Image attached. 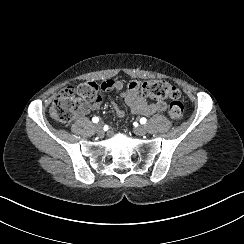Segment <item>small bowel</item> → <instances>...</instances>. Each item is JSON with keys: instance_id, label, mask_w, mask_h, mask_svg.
<instances>
[{"instance_id": "c3829d8e", "label": "small bowel", "mask_w": 244, "mask_h": 244, "mask_svg": "<svg viewBox=\"0 0 244 244\" xmlns=\"http://www.w3.org/2000/svg\"><path fill=\"white\" fill-rule=\"evenodd\" d=\"M103 89L108 92H114L121 97L127 107L133 114L148 116L159 112H164L167 105L163 101L149 103L145 98H133L129 91L125 89L124 83L121 80H107L103 84ZM112 108L118 117H123L125 112L113 100L111 101ZM101 107V101L93 103L80 104L77 115L84 117L90 112L97 111Z\"/></svg>"}]
</instances>
